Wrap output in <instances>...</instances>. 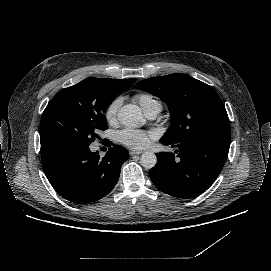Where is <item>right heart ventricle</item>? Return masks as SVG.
I'll return each mask as SVG.
<instances>
[{"label":"right heart ventricle","instance_id":"obj_1","mask_svg":"<svg viewBox=\"0 0 271 271\" xmlns=\"http://www.w3.org/2000/svg\"><path fill=\"white\" fill-rule=\"evenodd\" d=\"M133 99L141 105L145 112L155 111L158 113L162 108L161 102L148 92H138L133 95Z\"/></svg>","mask_w":271,"mask_h":271}]
</instances>
